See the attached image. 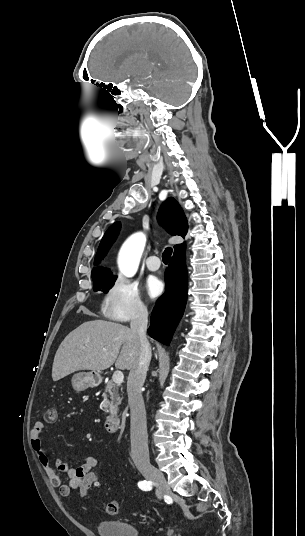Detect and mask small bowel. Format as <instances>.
<instances>
[{"mask_svg": "<svg viewBox=\"0 0 305 536\" xmlns=\"http://www.w3.org/2000/svg\"><path fill=\"white\" fill-rule=\"evenodd\" d=\"M43 430L44 427H32L30 432L31 446L51 485L59 489L60 496L68 497L72 490H80L84 479H87V469H95L97 459L93 456H87L73 464L67 458H57L52 466L42 446L41 434ZM60 474H64L68 478V483H62Z\"/></svg>", "mask_w": 305, "mask_h": 536, "instance_id": "c3829d8e", "label": "small bowel"}]
</instances>
